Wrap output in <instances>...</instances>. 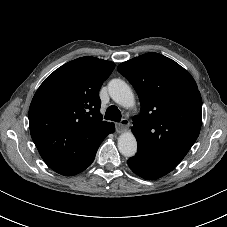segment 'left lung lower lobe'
<instances>
[{
    "label": "left lung lower lobe",
    "mask_w": 227,
    "mask_h": 227,
    "mask_svg": "<svg viewBox=\"0 0 227 227\" xmlns=\"http://www.w3.org/2000/svg\"><path fill=\"white\" fill-rule=\"evenodd\" d=\"M130 169L138 176L154 180L171 172L174 167L154 162L142 155L136 154L127 161Z\"/></svg>",
    "instance_id": "obj_1"
}]
</instances>
